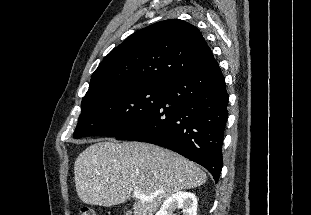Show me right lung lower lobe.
<instances>
[{"instance_id": "right-lung-lower-lobe-1", "label": "right lung lower lobe", "mask_w": 311, "mask_h": 215, "mask_svg": "<svg viewBox=\"0 0 311 215\" xmlns=\"http://www.w3.org/2000/svg\"><path fill=\"white\" fill-rule=\"evenodd\" d=\"M163 87L160 105L115 138L175 151L205 167L217 182L229 99L219 64L173 78Z\"/></svg>"}]
</instances>
